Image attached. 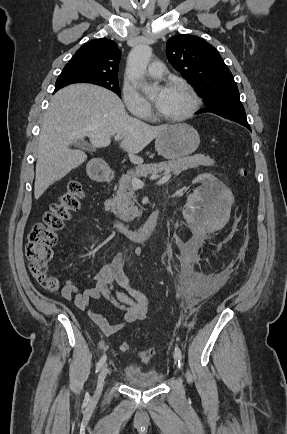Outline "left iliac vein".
Masks as SVG:
<instances>
[{"label": "left iliac vein", "instance_id": "left-iliac-vein-1", "mask_svg": "<svg viewBox=\"0 0 287 434\" xmlns=\"http://www.w3.org/2000/svg\"><path fill=\"white\" fill-rule=\"evenodd\" d=\"M174 358L177 360V355H176V353H174Z\"/></svg>", "mask_w": 287, "mask_h": 434}]
</instances>
